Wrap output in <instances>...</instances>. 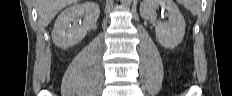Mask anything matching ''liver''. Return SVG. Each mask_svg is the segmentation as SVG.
Masks as SVG:
<instances>
[{
    "label": "liver",
    "mask_w": 232,
    "mask_h": 96,
    "mask_svg": "<svg viewBox=\"0 0 232 96\" xmlns=\"http://www.w3.org/2000/svg\"><path fill=\"white\" fill-rule=\"evenodd\" d=\"M75 2L77 0H36L41 25L46 27L61 9Z\"/></svg>",
    "instance_id": "liver-1"
}]
</instances>
